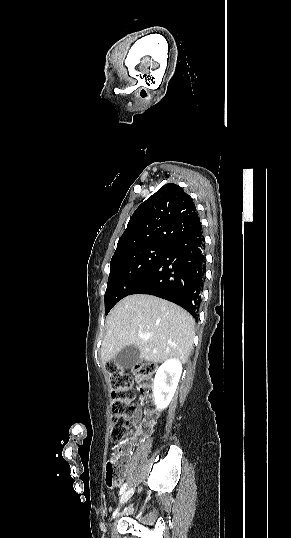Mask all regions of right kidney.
<instances>
[{"label":"right kidney","mask_w":291,"mask_h":538,"mask_svg":"<svg viewBox=\"0 0 291 538\" xmlns=\"http://www.w3.org/2000/svg\"><path fill=\"white\" fill-rule=\"evenodd\" d=\"M182 364L176 358L167 359L158 368L153 385V395L156 408L164 410L171 402L176 391Z\"/></svg>","instance_id":"1"}]
</instances>
